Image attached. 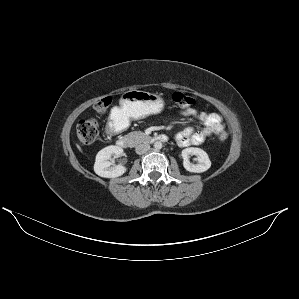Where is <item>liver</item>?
<instances>
[{
	"label": "liver",
	"instance_id": "liver-1",
	"mask_svg": "<svg viewBox=\"0 0 299 299\" xmlns=\"http://www.w3.org/2000/svg\"><path fill=\"white\" fill-rule=\"evenodd\" d=\"M77 148L79 149V151L82 152V149H81V147L79 145H77Z\"/></svg>",
	"mask_w": 299,
	"mask_h": 299
}]
</instances>
